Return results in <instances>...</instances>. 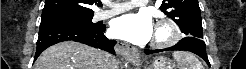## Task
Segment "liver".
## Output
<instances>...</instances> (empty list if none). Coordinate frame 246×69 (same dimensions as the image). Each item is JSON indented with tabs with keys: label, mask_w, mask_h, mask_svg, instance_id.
Wrapping results in <instances>:
<instances>
[{
	"label": "liver",
	"mask_w": 246,
	"mask_h": 69,
	"mask_svg": "<svg viewBox=\"0 0 246 69\" xmlns=\"http://www.w3.org/2000/svg\"><path fill=\"white\" fill-rule=\"evenodd\" d=\"M108 53L87 45L66 41L46 49L36 60L34 69H106ZM118 69V64L113 66Z\"/></svg>",
	"instance_id": "1"
}]
</instances>
